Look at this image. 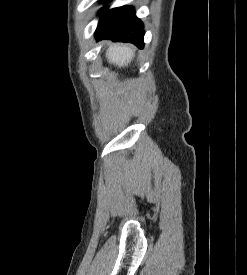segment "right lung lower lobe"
<instances>
[{
    "label": "right lung lower lobe",
    "mask_w": 247,
    "mask_h": 275,
    "mask_svg": "<svg viewBox=\"0 0 247 275\" xmlns=\"http://www.w3.org/2000/svg\"><path fill=\"white\" fill-rule=\"evenodd\" d=\"M101 16L95 38L97 40L130 42L143 48L144 31L142 22L136 17L133 7H119L106 11Z\"/></svg>",
    "instance_id": "obj_1"
}]
</instances>
